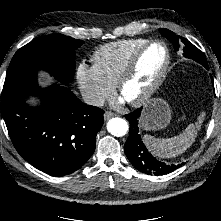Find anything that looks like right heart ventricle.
I'll return each instance as SVG.
<instances>
[{"label": "right heart ventricle", "mask_w": 221, "mask_h": 221, "mask_svg": "<svg viewBox=\"0 0 221 221\" xmlns=\"http://www.w3.org/2000/svg\"><path fill=\"white\" fill-rule=\"evenodd\" d=\"M147 41L145 38H131L106 43L93 53L94 66L106 81L116 85L132 54Z\"/></svg>", "instance_id": "1"}]
</instances>
